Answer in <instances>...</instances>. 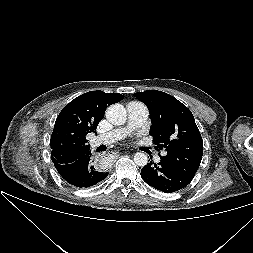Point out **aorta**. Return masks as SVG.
Wrapping results in <instances>:
<instances>
[{"label":"aorta","instance_id":"aorta-1","mask_svg":"<svg viewBox=\"0 0 253 253\" xmlns=\"http://www.w3.org/2000/svg\"><path fill=\"white\" fill-rule=\"evenodd\" d=\"M106 119L114 125H123L126 122V109L121 104L110 105L105 113ZM134 162L138 166H145L148 163V157L145 153L137 152L134 155Z\"/></svg>","mask_w":253,"mask_h":253}]
</instances>
